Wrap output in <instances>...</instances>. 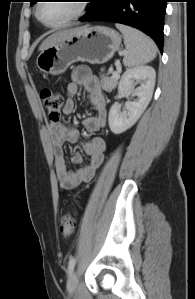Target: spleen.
<instances>
[{"label":"spleen","instance_id":"spleen-1","mask_svg":"<svg viewBox=\"0 0 195 299\" xmlns=\"http://www.w3.org/2000/svg\"><path fill=\"white\" fill-rule=\"evenodd\" d=\"M115 26L124 36L126 47L123 58L124 66L132 68L144 65L156 57L157 47L147 35L123 24H116Z\"/></svg>","mask_w":195,"mask_h":299}]
</instances>
